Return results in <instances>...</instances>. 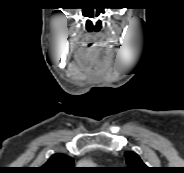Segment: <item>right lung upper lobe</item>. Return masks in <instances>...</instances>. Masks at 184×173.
<instances>
[{
  "label": "right lung upper lobe",
  "mask_w": 184,
  "mask_h": 173,
  "mask_svg": "<svg viewBox=\"0 0 184 173\" xmlns=\"http://www.w3.org/2000/svg\"><path fill=\"white\" fill-rule=\"evenodd\" d=\"M75 167L71 157L64 154H54L38 168V173H74Z\"/></svg>",
  "instance_id": "cb5924a9"
}]
</instances>
